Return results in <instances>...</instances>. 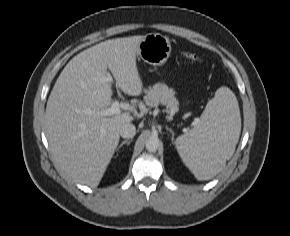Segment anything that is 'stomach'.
Wrapping results in <instances>:
<instances>
[{
  "label": "stomach",
  "mask_w": 290,
  "mask_h": 236,
  "mask_svg": "<svg viewBox=\"0 0 290 236\" xmlns=\"http://www.w3.org/2000/svg\"><path fill=\"white\" fill-rule=\"evenodd\" d=\"M171 53V44L168 37L159 33H149L139 44L137 56L153 66L164 65Z\"/></svg>",
  "instance_id": "obj_1"
}]
</instances>
